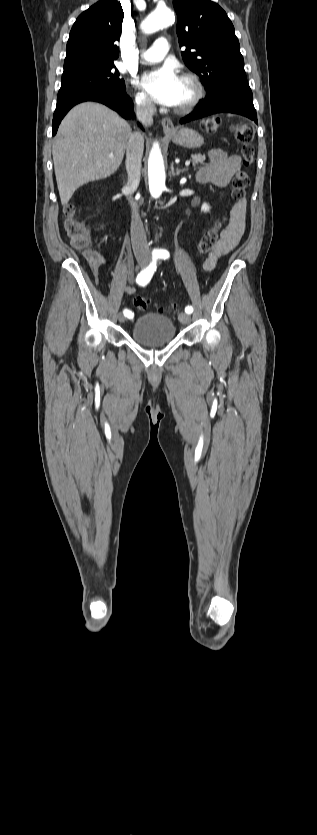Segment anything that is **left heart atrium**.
<instances>
[{
  "label": "left heart atrium",
  "mask_w": 317,
  "mask_h": 835,
  "mask_svg": "<svg viewBox=\"0 0 317 835\" xmlns=\"http://www.w3.org/2000/svg\"><path fill=\"white\" fill-rule=\"evenodd\" d=\"M181 79L170 64L147 73L142 78L143 88L162 105L175 106L178 102Z\"/></svg>",
  "instance_id": "left-heart-atrium-1"
}]
</instances>
